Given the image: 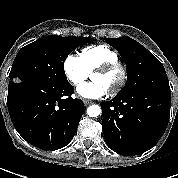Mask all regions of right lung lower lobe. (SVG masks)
I'll return each mask as SVG.
<instances>
[{"label":"right lung lower lobe","instance_id":"right-lung-lower-lobe-1","mask_svg":"<svg viewBox=\"0 0 178 178\" xmlns=\"http://www.w3.org/2000/svg\"><path fill=\"white\" fill-rule=\"evenodd\" d=\"M67 80L10 82L7 104L20 136L43 150L66 146L73 138L85 111L83 101L73 99Z\"/></svg>","mask_w":178,"mask_h":178}]
</instances>
